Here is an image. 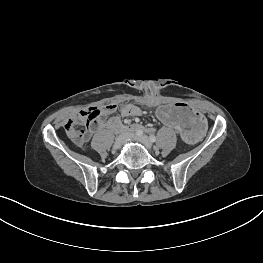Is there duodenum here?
Here are the masks:
<instances>
[{
    "label": "duodenum",
    "mask_w": 263,
    "mask_h": 263,
    "mask_svg": "<svg viewBox=\"0 0 263 263\" xmlns=\"http://www.w3.org/2000/svg\"><path fill=\"white\" fill-rule=\"evenodd\" d=\"M109 129H118L122 132H130V131H136V130H143V126L138 125V124H133V125H122L118 120L113 119L109 121L107 124Z\"/></svg>",
    "instance_id": "obj_1"
}]
</instances>
